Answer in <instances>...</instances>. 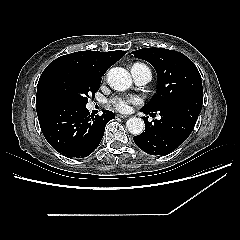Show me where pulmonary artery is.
Instances as JSON below:
<instances>
[{
	"mask_svg": "<svg viewBox=\"0 0 240 240\" xmlns=\"http://www.w3.org/2000/svg\"><path fill=\"white\" fill-rule=\"evenodd\" d=\"M131 73L138 85H145L151 80V72L145 65L134 64L131 68Z\"/></svg>",
	"mask_w": 240,
	"mask_h": 240,
	"instance_id": "obj_1",
	"label": "pulmonary artery"
}]
</instances>
